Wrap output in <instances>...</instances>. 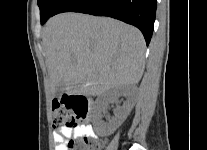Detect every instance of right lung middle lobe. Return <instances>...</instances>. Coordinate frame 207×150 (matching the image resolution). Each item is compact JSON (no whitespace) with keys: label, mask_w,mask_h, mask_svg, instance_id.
Instances as JSON below:
<instances>
[{"label":"right lung middle lobe","mask_w":207,"mask_h":150,"mask_svg":"<svg viewBox=\"0 0 207 150\" xmlns=\"http://www.w3.org/2000/svg\"><path fill=\"white\" fill-rule=\"evenodd\" d=\"M62 1L63 0H38L41 24H44L54 15V12Z\"/></svg>","instance_id":"dd1d6c3e"}]
</instances>
